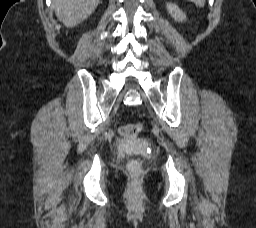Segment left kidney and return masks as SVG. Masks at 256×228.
<instances>
[{"mask_svg": "<svg viewBox=\"0 0 256 228\" xmlns=\"http://www.w3.org/2000/svg\"><path fill=\"white\" fill-rule=\"evenodd\" d=\"M166 7H167V11L175 19V21L186 20V15L183 13L181 9H179L177 5L168 3Z\"/></svg>", "mask_w": 256, "mask_h": 228, "instance_id": "left-kidney-1", "label": "left kidney"}]
</instances>
